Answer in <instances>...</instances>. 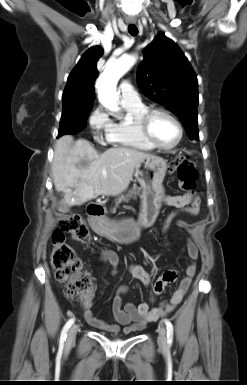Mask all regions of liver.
Masks as SVG:
<instances>
[{
  "instance_id": "liver-1",
  "label": "liver",
  "mask_w": 247,
  "mask_h": 385,
  "mask_svg": "<svg viewBox=\"0 0 247 385\" xmlns=\"http://www.w3.org/2000/svg\"><path fill=\"white\" fill-rule=\"evenodd\" d=\"M150 154L132 148H110L98 154L85 139L64 135L56 142L52 163L55 189L68 205L83 204L98 195L121 194L136 165ZM106 174V177L104 176Z\"/></svg>"
}]
</instances>
